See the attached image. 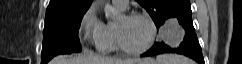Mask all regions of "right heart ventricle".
<instances>
[{
  "instance_id": "e07e8e85",
  "label": "right heart ventricle",
  "mask_w": 242,
  "mask_h": 64,
  "mask_svg": "<svg viewBox=\"0 0 242 64\" xmlns=\"http://www.w3.org/2000/svg\"><path fill=\"white\" fill-rule=\"evenodd\" d=\"M105 26L107 34L105 37L100 39L96 45L99 50L108 52L118 47L116 40V23L110 21L107 24H105Z\"/></svg>"
}]
</instances>
